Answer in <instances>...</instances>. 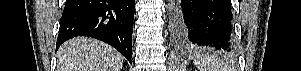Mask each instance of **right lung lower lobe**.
Returning a JSON list of instances; mask_svg holds the SVG:
<instances>
[{
	"label": "right lung lower lobe",
	"mask_w": 301,
	"mask_h": 71,
	"mask_svg": "<svg viewBox=\"0 0 301 71\" xmlns=\"http://www.w3.org/2000/svg\"><path fill=\"white\" fill-rule=\"evenodd\" d=\"M135 0H66L57 48L76 36L104 41L132 63Z\"/></svg>",
	"instance_id": "1"
}]
</instances>
